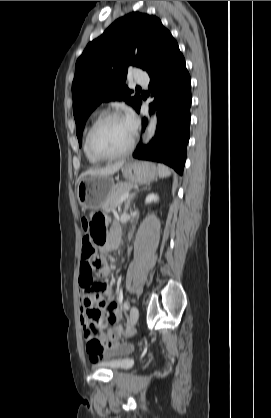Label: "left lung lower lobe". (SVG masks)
<instances>
[{"instance_id": "1", "label": "left lung lower lobe", "mask_w": 271, "mask_h": 418, "mask_svg": "<svg viewBox=\"0 0 271 418\" xmlns=\"http://www.w3.org/2000/svg\"><path fill=\"white\" fill-rule=\"evenodd\" d=\"M149 90L158 112L155 137L147 146L140 143L133 156L164 163L183 174L190 137L191 78L176 40L171 37L157 64L148 72ZM142 100L137 111L139 112ZM147 120L143 119V129Z\"/></svg>"}]
</instances>
